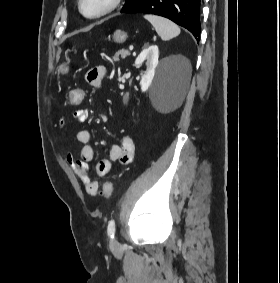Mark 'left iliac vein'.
<instances>
[{"instance_id":"obj_1","label":"left iliac vein","mask_w":280,"mask_h":283,"mask_svg":"<svg viewBox=\"0 0 280 283\" xmlns=\"http://www.w3.org/2000/svg\"><path fill=\"white\" fill-rule=\"evenodd\" d=\"M117 246H118L117 240H112V242H111V247L115 248V247H117Z\"/></svg>"}]
</instances>
